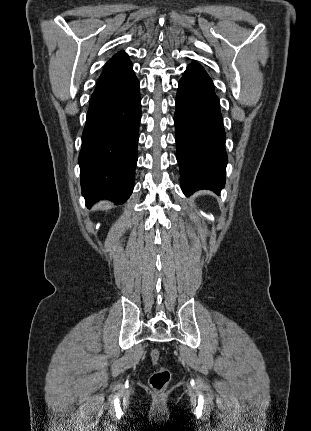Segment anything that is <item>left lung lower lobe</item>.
I'll use <instances>...</instances> for the list:
<instances>
[{
	"label": "left lung lower lobe",
	"instance_id": "obj_1",
	"mask_svg": "<svg viewBox=\"0 0 311 431\" xmlns=\"http://www.w3.org/2000/svg\"><path fill=\"white\" fill-rule=\"evenodd\" d=\"M175 101L181 188L187 196L199 189L219 194L225 184L226 137L219 99L200 64L193 62L187 67Z\"/></svg>",
	"mask_w": 311,
	"mask_h": 431
}]
</instances>
